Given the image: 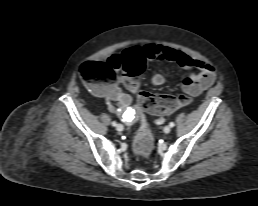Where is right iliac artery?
I'll list each match as a JSON object with an SVG mask.
<instances>
[{
	"mask_svg": "<svg viewBox=\"0 0 258 206\" xmlns=\"http://www.w3.org/2000/svg\"><path fill=\"white\" fill-rule=\"evenodd\" d=\"M116 125H117L116 121H113L112 126H116Z\"/></svg>",
	"mask_w": 258,
	"mask_h": 206,
	"instance_id": "obj_1",
	"label": "right iliac artery"
}]
</instances>
